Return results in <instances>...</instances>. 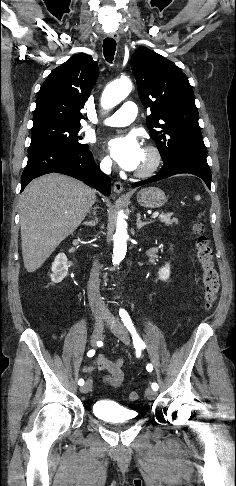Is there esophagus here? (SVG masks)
Here are the masks:
<instances>
[{
	"mask_svg": "<svg viewBox=\"0 0 236 486\" xmlns=\"http://www.w3.org/2000/svg\"><path fill=\"white\" fill-rule=\"evenodd\" d=\"M109 36L111 38H113L116 42H119V40H120L119 34L116 33V32L115 33H111ZM113 190H114V192L116 194H121L123 192V185H122V183L119 182V181H116L114 183Z\"/></svg>",
	"mask_w": 236,
	"mask_h": 486,
	"instance_id": "34e87169",
	"label": "esophagus"
}]
</instances>
